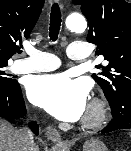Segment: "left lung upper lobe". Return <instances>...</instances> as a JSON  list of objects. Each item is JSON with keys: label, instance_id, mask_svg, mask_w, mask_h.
<instances>
[{"label": "left lung upper lobe", "instance_id": "obj_1", "mask_svg": "<svg viewBox=\"0 0 131 151\" xmlns=\"http://www.w3.org/2000/svg\"><path fill=\"white\" fill-rule=\"evenodd\" d=\"M90 28L87 41L109 61L92 78L103 89L112 115L131 110V4L125 0H73Z\"/></svg>", "mask_w": 131, "mask_h": 151}]
</instances>
